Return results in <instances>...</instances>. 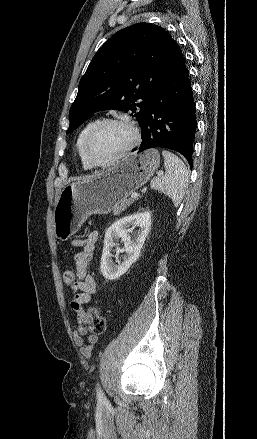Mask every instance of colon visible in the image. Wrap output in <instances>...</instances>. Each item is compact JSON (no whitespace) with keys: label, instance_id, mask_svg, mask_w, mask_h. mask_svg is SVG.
<instances>
[{"label":"colon","instance_id":"obj_1","mask_svg":"<svg viewBox=\"0 0 257 439\" xmlns=\"http://www.w3.org/2000/svg\"><path fill=\"white\" fill-rule=\"evenodd\" d=\"M63 279L66 285L72 286L76 282L75 272L68 270L64 273ZM86 317L91 324L92 330L96 335L103 334L107 328V322L96 307H90L86 310Z\"/></svg>","mask_w":257,"mask_h":439}]
</instances>
